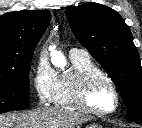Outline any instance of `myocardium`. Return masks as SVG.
I'll return each mask as SVG.
<instances>
[{"label":"myocardium","mask_w":142,"mask_h":128,"mask_svg":"<svg viewBox=\"0 0 142 128\" xmlns=\"http://www.w3.org/2000/svg\"><path fill=\"white\" fill-rule=\"evenodd\" d=\"M102 81L108 84L114 96V105L109 110L97 109L91 102V96L95 87ZM75 101L78 107L87 113L96 116H107L117 110L120 96L115 83L108 75L103 72H92L84 74L78 79L75 88Z\"/></svg>","instance_id":"1"}]
</instances>
